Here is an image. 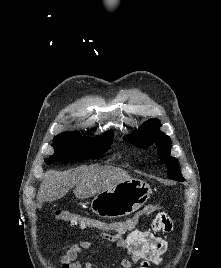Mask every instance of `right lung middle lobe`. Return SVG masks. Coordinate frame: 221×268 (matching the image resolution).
<instances>
[{
    "label": "right lung middle lobe",
    "mask_w": 221,
    "mask_h": 268,
    "mask_svg": "<svg viewBox=\"0 0 221 268\" xmlns=\"http://www.w3.org/2000/svg\"><path fill=\"white\" fill-rule=\"evenodd\" d=\"M113 136L112 131L96 138L81 136L79 132L60 133L53 139L55 153L45 162L80 161L101 156L109 150Z\"/></svg>",
    "instance_id": "1"
}]
</instances>
